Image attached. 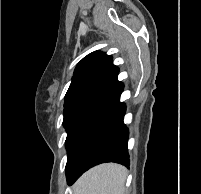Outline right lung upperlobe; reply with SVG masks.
<instances>
[{
	"label": "right lung upper lobe",
	"mask_w": 201,
	"mask_h": 194,
	"mask_svg": "<svg viewBox=\"0 0 201 194\" xmlns=\"http://www.w3.org/2000/svg\"><path fill=\"white\" fill-rule=\"evenodd\" d=\"M118 72L110 55L99 51L90 53L78 63L64 105L100 97L120 83Z\"/></svg>",
	"instance_id": "right-lung-upper-lobe-1"
}]
</instances>
